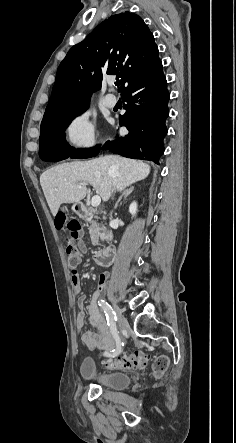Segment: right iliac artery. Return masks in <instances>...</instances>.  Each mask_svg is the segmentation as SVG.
<instances>
[{
	"instance_id": "right-iliac-artery-1",
	"label": "right iliac artery",
	"mask_w": 236,
	"mask_h": 443,
	"mask_svg": "<svg viewBox=\"0 0 236 443\" xmlns=\"http://www.w3.org/2000/svg\"><path fill=\"white\" fill-rule=\"evenodd\" d=\"M98 305L104 311V313L106 315V319H107V324L109 325L110 330L113 334V337L116 340V349L113 350L112 352H106L105 356L115 357V356L119 355L123 350V343L120 340L119 332L116 327L117 316H116V313L113 311L112 307L104 300H99Z\"/></svg>"
}]
</instances>
